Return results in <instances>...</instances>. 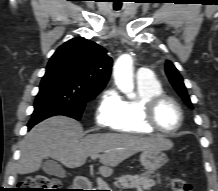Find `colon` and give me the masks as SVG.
I'll return each mask as SVG.
<instances>
[{
	"mask_svg": "<svg viewBox=\"0 0 218 191\" xmlns=\"http://www.w3.org/2000/svg\"><path fill=\"white\" fill-rule=\"evenodd\" d=\"M170 186L173 191H193L192 185L179 177L170 179ZM19 191H65L61 183L44 175L31 176L20 183Z\"/></svg>",
	"mask_w": 218,
	"mask_h": 191,
	"instance_id": "5ec220e1",
	"label": "colon"
}]
</instances>
